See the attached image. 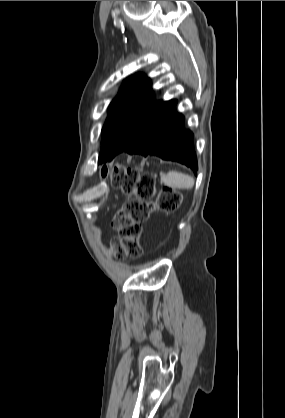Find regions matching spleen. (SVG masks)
Masks as SVG:
<instances>
[{"label":"spleen","instance_id":"1","mask_svg":"<svg viewBox=\"0 0 285 418\" xmlns=\"http://www.w3.org/2000/svg\"><path fill=\"white\" fill-rule=\"evenodd\" d=\"M160 177L165 185L172 188L191 189L194 186L193 177L178 171L161 172Z\"/></svg>","mask_w":285,"mask_h":418}]
</instances>
